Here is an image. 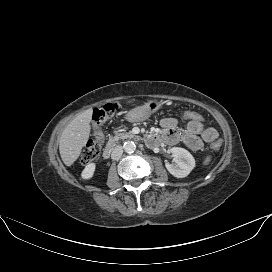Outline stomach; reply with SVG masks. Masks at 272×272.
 Segmentation results:
<instances>
[{"label": "stomach", "mask_w": 272, "mask_h": 272, "mask_svg": "<svg viewBox=\"0 0 272 272\" xmlns=\"http://www.w3.org/2000/svg\"><path fill=\"white\" fill-rule=\"evenodd\" d=\"M163 105L162 101L150 100L142 106L130 110L126 114V120L129 122H140L148 119L151 114L158 111Z\"/></svg>", "instance_id": "stomach-1"}]
</instances>
